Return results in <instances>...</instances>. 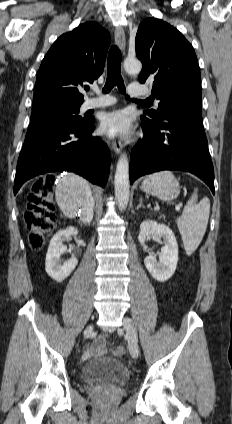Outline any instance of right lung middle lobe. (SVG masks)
Wrapping results in <instances>:
<instances>
[{
  "label": "right lung middle lobe",
  "instance_id": "right-lung-middle-lobe-1",
  "mask_svg": "<svg viewBox=\"0 0 232 424\" xmlns=\"http://www.w3.org/2000/svg\"><path fill=\"white\" fill-rule=\"evenodd\" d=\"M80 105L48 104L33 108L30 124L66 123L81 125L89 121L78 116Z\"/></svg>",
  "mask_w": 232,
  "mask_h": 424
}]
</instances>
